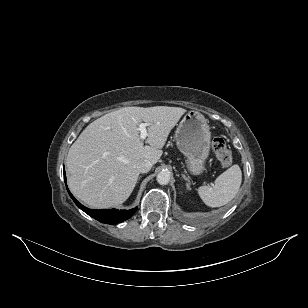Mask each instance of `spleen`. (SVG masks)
Instances as JSON below:
<instances>
[{
    "label": "spleen",
    "mask_w": 308,
    "mask_h": 308,
    "mask_svg": "<svg viewBox=\"0 0 308 308\" xmlns=\"http://www.w3.org/2000/svg\"><path fill=\"white\" fill-rule=\"evenodd\" d=\"M241 182V169L238 165H233L216 178L213 187L201 186L197 191L207 206L221 207L237 195Z\"/></svg>",
    "instance_id": "3e777b00"
}]
</instances>
